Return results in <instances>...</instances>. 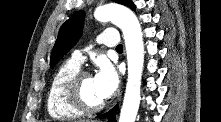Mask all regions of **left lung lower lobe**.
Instances as JSON below:
<instances>
[{
    "label": "left lung lower lobe",
    "instance_id": "1",
    "mask_svg": "<svg viewBox=\"0 0 221 122\" xmlns=\"http://www.w3.org/2000/svg\"><path fill=\"white\" fill-rule=\"evenodd\" d=\"M132 10H135V6ZM117 109H118V105H116L114 108H112L107 113L99 116V118H108V122H116L115 115H116Z\"/></svg>",
    "mask_w": 221,
    "mask_h": 122
}]
</instances>
